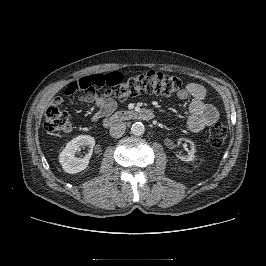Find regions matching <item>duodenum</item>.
<instances>
[{
	"instance_id": "obj_1",
	"label": "duodenum",
	"mask_w": 266,
	"mask_h": 266,
	"mask_svg": "<svg viewBox=\"0 0 266 266\" xmlns=\"http://www.w3.org/2000/svg\"><path fill=\"white\" fill-rule=\"evenodd\" d=\"M154 118V113L149 109L120 111L113 115H108L103 121L105 127H112L126 120L149 121Z\"/></svg>"
}]
</instances>
